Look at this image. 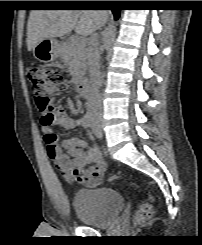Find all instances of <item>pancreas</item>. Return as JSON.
<instances>
[{
  "label": "pancreas",
  "instance_id": "1",
  "mask_svg": "<svg viewBox=\"0 0 202 245\" xmlns=\"http://www.w3.org/2000/svg\"><path fill=\"white\" fill-rule=\"evenodd\" d=\"M60 56L75 83H79L87 68L85 44L76 43V39L68 40L61 46Z\"/></svg>",
  "mask_w": 202,
  "mask_h": 245
}]
</instances>
